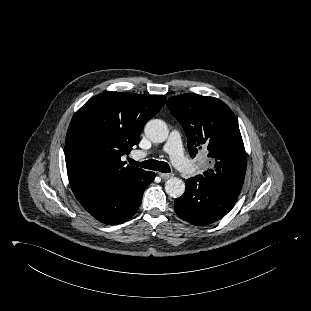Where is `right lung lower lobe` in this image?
Listing matches in <instances>:
<instances>
[{"label":"right lung lower lobe","mask_w":311,"mask_h":311,"mask_svg":"<svg viewBox=\"0 0 311 311\" xmlns=\"http://www.w3.org/2000/svg\"><path fill=\"white\" fill-rule=\"evenodd\" d=\"M148 172L126 185H115L96 180L71 185L72 191L83 206L98 221L115 225L125 222L138 210L144 189L154 180Z\"/></svg>","instance_id":"obj_1"}]
</instances>
